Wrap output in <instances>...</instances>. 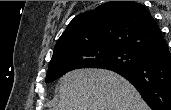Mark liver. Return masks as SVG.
Here are the masks:
<instances>
[{
  "mask_svg": "<svg viewBox=\"0 0 171 110\" xmlns=\"http://www.w3.org/2000/svg\"><path fill=\"white\" fill-rule=\"evenodd\" d=\"M53 110H149L136 88L115 72L76 69L60 78Z\"/></svg>",
  "mask_w": 171,
  "mask_h": 110,
  "instance_id": "1",
  "label": "liver"
}]
</instances>
